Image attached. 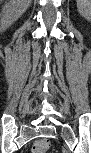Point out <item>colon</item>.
<instances>
[{
    "label": "colon",
    "instance_id": "1",
    "mask_svg": "<svg viewBox=\"0 0 91 153\" xmlns=\"http://www.w3.org/2000/svg\"><path fill=\"white\" fill-rule=\"evenodd\" d=\"M50 147V142L47 139L37 140L32 148L33 153H46Z\"/></svg>",
    "mask_w": 91,
    "mask_h": 153
}]
</instances>
